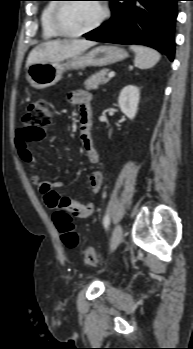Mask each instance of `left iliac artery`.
<instances>
[{
	"label": "left iliac artery",
	"instance_id": "1",
	"mask_svg": "<svg viewBox=\"0 0 193 349\" xmlns=\"http://www.w3.org/2000/svg\"><path fill=\"white\" fill-rule=\"evenodd\" d=\"M109 223H110V217L109 215H106L103 219V224H104V227L107 229L108 226H109Z\"/></svg>",
	"mask_w": 193,
	"mask_h": 349
}]
</instances>
